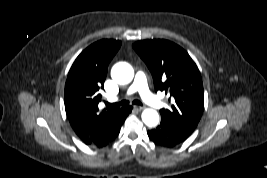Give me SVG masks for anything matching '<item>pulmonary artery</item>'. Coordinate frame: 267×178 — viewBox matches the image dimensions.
Returning a JSON list of instances; mask_svg holds the SVG:
<instances>
[{
	"mask_svg": "<svg viewBox=\"0 0 267 178\" xmlns=\"http://www.w3.org/2000/svg\"><path fill=\"white\" fill-rule=\"evenodd\" d=\"M135 92L140 94L145 103L154 108H161L164 106L163 101L149 90L146 76L142 72L136 74L133 83L127 90V95H131Z\"/></svg>",
	"mask_w": 267,
	"mask_h": 178,
	"instance_id": "obj_1",
	"label": "pulmonary artery"
}]
</instances>
